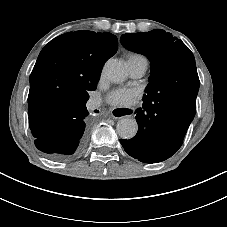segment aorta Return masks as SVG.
<instances>
[{
    "label": "aorta",
    "instance_id": "762f6f07",
    "mask_svg": "<svg viewBox=\"0 0 227 227\" xmlns=\"http://www.w3.org/2000/svg\"><path fill=\"white\" fill-rule=\"evenodd\" d=\"M103 74L114 83H121L127 78V69L125 65L117 59H109L104 67ZM138 130V125L133 118H123L117 123V133L123 139L133 138Z\"/></svg>",
    "mask_w": 227,
    "mask_h": 227
}]
</instances>
